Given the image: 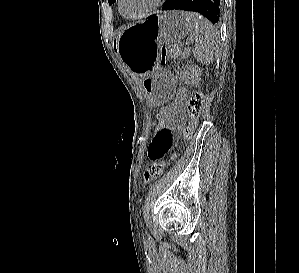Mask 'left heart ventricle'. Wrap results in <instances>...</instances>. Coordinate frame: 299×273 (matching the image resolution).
<instances>
[{
    "instance_id": "1",
    "label": "left heart ventricle",
    "mask_w": 299,
    "mask_h": 273,
    "mask_svg": "<svg viewBox=\"0 0 299 273\" xmlns=\"http://www.w3.org/2000/svg\"><path fill=\"white\" fill-rule=\"evenodd\" d=\"M155 0H123L122 10L127 16H136L145 12Z\"/></svg>"
}]
</instances>
